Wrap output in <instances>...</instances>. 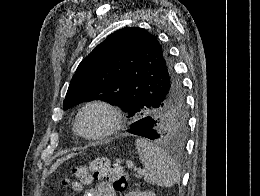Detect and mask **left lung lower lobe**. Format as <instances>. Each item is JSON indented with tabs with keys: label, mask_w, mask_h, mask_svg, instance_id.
Wrapping results in <instances>:
<instances>
[{
	"label": "left lung lower lobe",
	"mask_w": 260,
	"mask_h": 196,
	"mask_svg": "<svg viewBox=\"0 0 260 196\" xmlns=\"http://www.w3.org/2000/svg\"><path fill=\"white\" fill-rule=\"evenodd\" d=\"M154 121L149 118H143L136 122H134L130 126V130H128L129 133L139 135L151 140H155L158 138V135L154 129Z\"/></svg>",
	"instance_id": "1"
}]
</instances>
